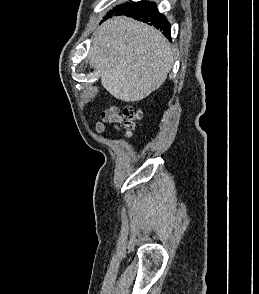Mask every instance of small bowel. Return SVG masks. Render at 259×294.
<instances>
[{"instance_id": "1", "label": "small bowel", "mask_w": 259, "mask_h": 294, "mask_svg": "<svg viewBox=\"0 0 259 294\" xmlns=\"http://www.w3.org/2000/svg\"><path fill=\"white\" fill-rule=\"evenodd\" d=\"M122 123L123 119L119 109L115 106H111L101 114L100 120L95 124V129L97 133L101 134L107 131L109 124H113L119 129Z\"/></svg>"}]
</instances>
